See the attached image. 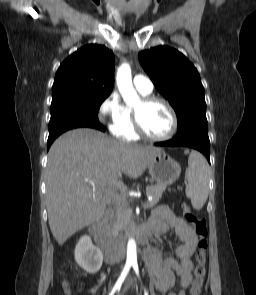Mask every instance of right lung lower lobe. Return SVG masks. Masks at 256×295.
I'll list each match as a JSON object with an SVG mask.
<instances>
[{
    "label": "right lung lower lobe",
    "instance_id": "right-lung-lower-lobe-1",
    "mask_svg": "<svg viewBox=\"0 0 256 295\" xmlns=\"http://www.w3.org/2000/svg\"><path fill=\"white\" fill-rule=\"evenodd\" d=\"M79 127H90L95 128L101 131H105V128L99 123L97 119H88L82 121H69L56 123L52 126H49V137L47 141V150L50 148L53 141L63 132L70 129L79 128Z\"/></svg>",
    "mask_w": 256,
    "mask_h": 295
}]
</instances>
